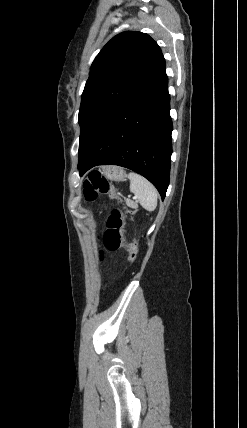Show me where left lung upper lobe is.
<instances>
[{
	"mask_svg": "<svg viewBox=\"0 0 247 428\" xmlns=\"http://www.w3.org/2000/svg\"><path fill=\"white\" fill-rule=\"evenodd\" d=\"M165 68L160 47L146 33L126 31L99 52L82 93L79 110V163L117 109ZM78 163V164H79Z\"/></svg>",
	"mask_w": 247,
	"mask_h": 428,
	"instance_id": "1",
	"label": "left lung upper lobe"
}]
</instances>
